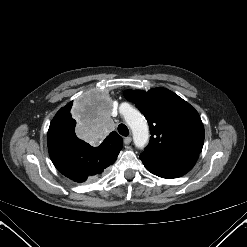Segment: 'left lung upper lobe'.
<instances>
[{
  "instance_id": "1",
  "label": "left lung upper lobe",
  "mask_w": 247,
  "mask_h": 247,
  "mask_svg": "<svg viewBox=\"0 0 247 247\" xmlns=\"http://www.w3.org/2000/svg\"><path fill=\"white\" fill-rule=\"evenodd\" d=\"M124 96L148 121L151 137L145 152L171 157L199 155L204 127L189 103L165 88L126 90Z\"/></svg>"
}]
</instances>
